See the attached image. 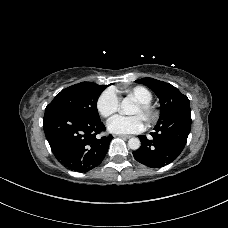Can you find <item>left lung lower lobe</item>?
<instances>
[{
    "mask_svg": "<svg viewBox=\"0 0 228 228\" xmlns=\"http://www.w3.org/2000/svg\"><path fill=\"white\" fill-rule=\"evenodd\" d=\"M181 124H175L174 116L157 123L152 138L139 136L141 146L133 152L134 158L143 165L160 168L174 161L184 149L191 129V111L183 109L179 113Z\"/></svg>",
    "mask_w": 228,
    "mask_h": 228,
    "instance_id": "0a47b994",
    "label": "left lung lower lobe"
}]
</instances>
